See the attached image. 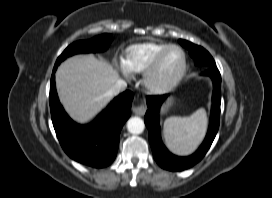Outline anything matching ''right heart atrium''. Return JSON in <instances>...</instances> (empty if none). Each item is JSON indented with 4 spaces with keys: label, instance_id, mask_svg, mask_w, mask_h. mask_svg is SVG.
Returning <instances> with one entry per match:
<instances>
[{
    "label": "right heart atrium",
    "instance_id": "1",
    "mask_svg": "<svg viewBox=\"0 0 272 198\" xmlns=\"http://www.w3.org/2000/svg\"><path fill=\"white\" fill-rule=\"evenodd\" d=\"M123 72L125 73V74H127L128 72L123 68Z\"/></svg>",
    "mask_w": 272,
    "mask_h": 198
}]
</instances>
